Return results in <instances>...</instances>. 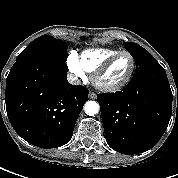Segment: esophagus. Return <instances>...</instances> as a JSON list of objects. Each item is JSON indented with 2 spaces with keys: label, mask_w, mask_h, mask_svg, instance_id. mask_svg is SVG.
Returning <instances> with one entry per match:
<instances>
[{
  "label": "esophagus",
  "mask_w": 178,
  "mask_h": 178,
  "mask_svg": "<svg viewBox=\"0 0 178 178\" xmlns=\"http://www.w3.org/2000/svg\"><path fill=\"white\" fill-rule=\"evenodd\" d=\"M89 98L90 99H96L97 95L94 92H89Z\"/></svg>",
  "instance_id": "1"
}]
</instances>
